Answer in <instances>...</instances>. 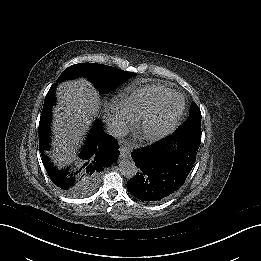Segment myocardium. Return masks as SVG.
I'll return each mask as SVG.
<instances>
[{"label":"myocardium","mask_w":261,"mask_h":261,"mask_svg":"<svg viewBox=\"0 0 261 261\" xmlns=\"http://www.w3.org/2000/svg\"><path fill=\"white\" fill-rule=\"evenodd\" d=\"M174 97H179L181 99V108L180 111L178 112V114L176 115V117L174 119H172L168 124H166L164 127L155 129V130H147V125L150 123V121L152 120V116L156 113H158L163 107L164 105L172 98ZM185 110V98L181 93L178 92H173L168 98H166L163 103L161 104V106L147 114L146 116L142 117L140 120H138V122L136 123L135 127H134V134L137 136L138 140L142 143L145 142H155L158 140H161L163 138H165L166 136H168L171 132H173V130L177 127L183 113Z\"/></svg>","instance_id":"obj_1"}]
</instances>
